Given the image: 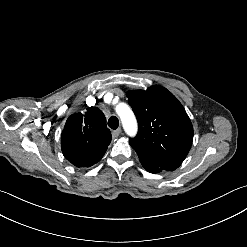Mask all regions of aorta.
Here are the masks:
<instances>
[{
  "mask_svg": "<svg viewBox=\"0 0 247 247\" xmlns=\"http://www.w3.org/2000/svg\"><path fill=\"white\" fill-rule=\"evenodd\" d=\"M116 112L121 118L125 132L130 136H134L137 132V122L129 106L121 103L116 107Z\"/></svg>",
  "mask_w": 247,
  "mask_h": 247,
  "instance_id": "762f6f07",
  "label": "aorta"
}]
</instances>
